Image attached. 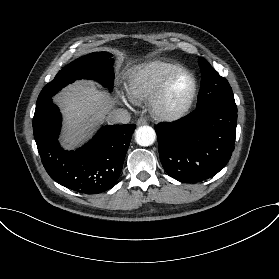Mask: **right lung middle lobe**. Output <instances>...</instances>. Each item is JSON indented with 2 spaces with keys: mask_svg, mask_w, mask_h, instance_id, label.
<instances>
[{
  "mask_svg": "<svg viewBox=\"0 0 279 279\" xmlns=\"http://www.w3.org/2000/svg\"><path fill=\"white\" fill-rule=\"evenodd\" d=\"M111 57L112 54L107 52H94L74 60L42 89L36 105L50 100L63 87L77 79H94L111 90L114 80V60Z\"/></svg>",
  "mask_w": 279,
  "mask_h": 279,
  "instance_id": "obj_1",
  "label": "right lung middle lobe"
}]
</instances>
